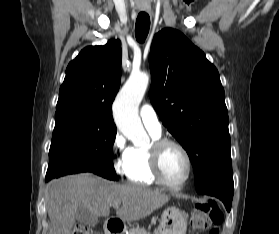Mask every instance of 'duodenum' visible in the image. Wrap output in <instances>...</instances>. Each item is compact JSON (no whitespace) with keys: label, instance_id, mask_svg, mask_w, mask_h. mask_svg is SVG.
<instances>
[{"label":"duodenum","instance_id":"410a0bca","mask_svg":"<svg viewBox=\"0 0 279 234\" xmlns=\"http://www.w3.org/2000/svg\"><path fill=\"white\" fill-rule=\"evenodd\" d=\"M105 231L107 234H122L123 226L116 219H108L105 223Z\"/></svg>","mask_w":279,"mask_h":234}]
</instances>
